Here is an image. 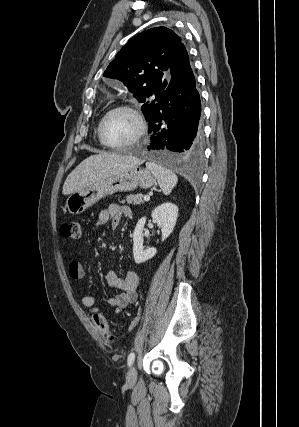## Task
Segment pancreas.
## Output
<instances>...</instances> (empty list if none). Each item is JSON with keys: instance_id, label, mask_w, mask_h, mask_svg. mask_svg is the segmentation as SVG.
Instances as JSON below:
<instances>
[{"instance_id": "pancreas-1", "label": "pancreas", "mask_w": 299, "mask_h": 427, "mask_svg": "<svg viewBox=\"0 0 299 427\" xmlns=\"http://www.w3.org/2000/svg\"><path fill=\"white\" fill-rule=\"evenodd\" d=\"M129 203L133 205H139L143 203V194H136V195H128L126 196L125 200H122L121 203Z\"/></svg>"}]
</instances>
